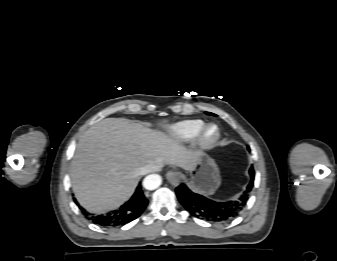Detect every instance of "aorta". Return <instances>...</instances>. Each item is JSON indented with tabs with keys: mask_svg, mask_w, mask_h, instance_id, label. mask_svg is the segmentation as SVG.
Returning a JSON list of instances; mask_svg holds the SVG:
<instances>
[{
	"mask_svg": "<svg viewBox=\"0 0 337 261\" xmlns=\"http://www.w3.org/2000/svg\"><path fill=\"white\" fill-rule=\"evenodd\" d=\"M161 183H162V178L158 174L148 175L143 180V186L147 190H155L161 185Z\"/></svg>",
	"mask_w": 337,
	"mask_h": 261,
	"instance_id": "1",
	"label": "aorta"
}]
</instances>
